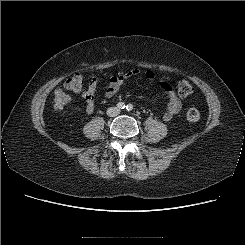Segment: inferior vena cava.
<instances>
[{"mask_svg":"<svg viewBox=\"0 0 245 245\" xmlns=\"http://www.w3.org/2000/svg\"><path fill=\"white\" fill-rule=\"evenodd\" d=\"M120 114V109L117 107H110L107 109V115L110 117H115Z\"/></svg>","mask_w":245,"mask_h":245,"instance_id":"602c4592","label":"inferior vena cava"}]
</instances>
